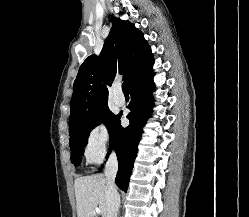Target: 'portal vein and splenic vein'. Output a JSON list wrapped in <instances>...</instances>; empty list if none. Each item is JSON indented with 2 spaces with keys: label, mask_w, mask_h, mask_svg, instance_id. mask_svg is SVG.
<instances>
[{
  "label": "portal vein and splenic vein",
  "mask_w": 249,
  "mask_h": 217,
  "mask_svg": "<svg viewBox=\"0 0 249 217\" xmlns=\"http://www.w3.org/2000/svg\"><path fill=\"white\" fill-rule=\"evenodd\" d=\"M96 213L101 214V210L99 208H95Z\"/></svg>",
  "instance_id": "obj_1"
}]
</instances>
